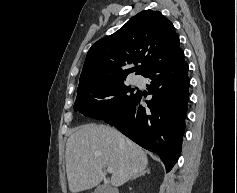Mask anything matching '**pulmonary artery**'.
<instances>
[{
  "label": "pulmonary artery",
  "mask_w": 237,
  "mask_h": 193,
  "mask_svg": "<svg viewBox=\"0 0 237 193\" xmlns=\"http://www.w3.org/2000/svg\"><path fill=\"white\" fill-rule=\"evenodd\" d=\"M139 81H138V79L136 80V83H138Z\"/></svg>",
  "instance_id": "e3ab8cb5"
}]
</instances>
